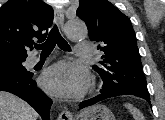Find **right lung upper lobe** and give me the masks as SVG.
Instances as JSON below:
<instances>
[{
    "mask_svg": "<svg viewBox=\"0 0 165 120\" xmlns=\"http://www.w3.org/2000/svg\"><path fill=\"white\" fill-rule=\"evenodd\" d=\"M53 9L41 0H9L0 8V62L21 61L35 40L44 41Z\"/></svg>",
    "mask_w": 165,
    "mask_h": 120,
    "instance_id": "right-lung-upper-lobe-1",
    "label": "right lung upper lobe"
}]
</instances>
